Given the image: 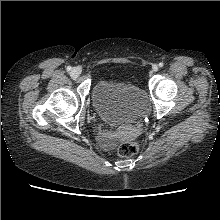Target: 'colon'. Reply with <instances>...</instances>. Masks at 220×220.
Wrapping results in <instances>:
<instances>
[{
	"mask_svg": "<svg viewBox=\"0 0 220 220\" xmlns=\"http://www.w3.org/2000/svg\"><path fill=\"white\" fill-rule=\"evenodd\" d=\"M115 152L119 157H131L137 152V145L134 142H120L116 145Z\"/></svg>",
	"mask_w": 220,
	"mask_h": 220,
	"instance_id": "5ec220e1",
	"label": "colon"
}]
</instances>
